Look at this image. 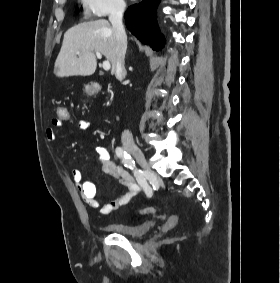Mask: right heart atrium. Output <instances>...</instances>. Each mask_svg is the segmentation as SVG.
<instances>
[{
    "label": "right heart atrium",
    "instance_id": "1",
    "mask_svg": "<svg viewBox=\"0 0 280 283\" xmlns=\"http://www.w3.org/2000/svg\"><path fill=\"white\" fill-rule=\"evenodd\" d=\"M84 12L89 17L102 18L121 14L125 8V0H81Z\"/></svg>",
    "mask_w": 280,
    "mask_h": 283
}]
</instances>
